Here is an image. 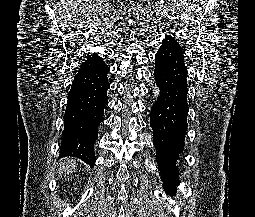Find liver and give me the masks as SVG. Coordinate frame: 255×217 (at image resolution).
<instances>
[{"label": "liver", "mask_w": 255, "mask_h": 217, "mask_svg": "<svg viewBox=\"0 0 255 217\" xmlns=\"http://www.w3.org/2000/svg\"><path fill=\"white\" fill-rule=\"evenodd\" d=\"M77 168V162L74 158H65L61 160L60 169L67 174L74 171Z\"/></svg>", "instance_id": "1"}]
</instances>
